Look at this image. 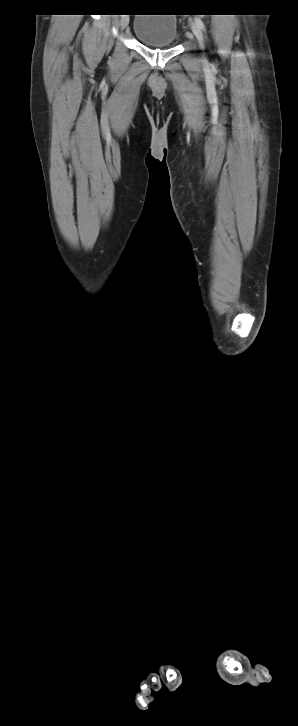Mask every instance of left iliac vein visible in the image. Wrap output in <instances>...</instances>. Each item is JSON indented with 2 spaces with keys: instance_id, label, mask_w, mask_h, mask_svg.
Wrapping results in <instances>:
<instances>
[{
  "instance_id": "obj_1",
  "label": "left iliac vein",
  "mask_w": 298,
  "mask_h": 726,
  "mask_svg": "<svg viewBox=\"0 0 298 726\" xmlns=\"http://www.w3.org/2000/svg\"><path fill=\"white\" fill-rule=\"evenodd\" d=\"M191 29H192L194 36L198 40L200 47L204 48L203 34H202L200 27L197 25L196 22L191 23Z\"/></svg>"
}]
</instances>
